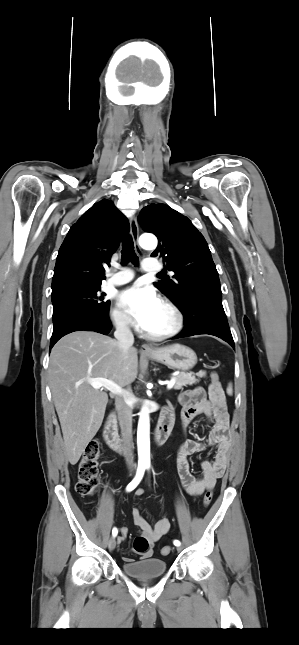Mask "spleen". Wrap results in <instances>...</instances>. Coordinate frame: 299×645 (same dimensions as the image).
Wrapping results in <instances>:
<instances>
[{
  "label": "spleen",
  "mask_w": 299,
  "mask_h": 645,
  "mask_svg": "<svg viewBox=\"0 0 299 645\" xmlns=\"http://www.w3.org/2000/svg\"><path fill=\"white\" fill-rule=\"evenodd\" d=\"M228 393H229V394H232V385H231V384H229V387H228Z\"/></svg>",
  "instance_id": "1"
}]
</instances>
